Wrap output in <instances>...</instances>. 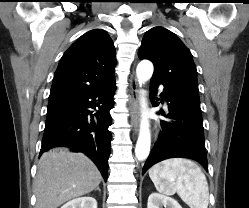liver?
Here are the masks:
<instances>
[{
  "label": "liver",
  "instance_id": "6515ba94",
  "mask_svg": "<svg viewBox=\"0 0 249 208\" xmlns=\"http://www.w3.org/2000/svg\"><path fill=\"white\" fill-rule=\"evenodd\" d=\"M101 180V173L87 156L64 147L53 148L38 162L35 208H57L92 192Z\"/></svg>",
  "mask_w": 249,
  "mask_h": 208
}]
</instances>
